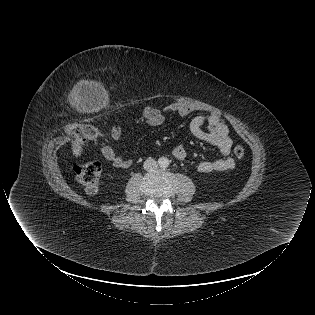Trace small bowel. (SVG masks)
<instances>
[{
	"instance_id": "1",
	"label": "small bowel",
	"mask_w": 315,
	"mask_h": 315,
	"mask_svg": "<svg viewBox=\"0 0 315 315\" xmlns=\"http://www.w3.org/2000/svg\"><path fill=\"white\" fill-rule=\"evenodd\" d=\"M191 112L192 108L181 102L169 104L163 109L147 106L136 122L137 124L160 126L165 122V114L167 113L186 116ZM204 125H207V130H204ZM189 129L194 137L217 147L222 155V158L219 159L200 162L198 164L200 172H221L235 167V161L230 155L232 140L229 128L221 114L212 112L208 115H196L190 120ZM124 133V129L119 124L113 125L110 131L111 137L115 141H120ZM101 153L107 161L117 168H128L132 164L131 159L119 156L114 148L108 144L102 146ZM172 154L178 160H184L187 157V151L182 145L176 146Z\"/></svg>"
}]
</instances>
